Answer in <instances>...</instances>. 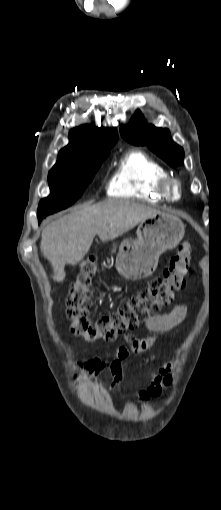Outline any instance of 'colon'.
I'll return each mask as SVG.
<instances>
[{
	"label": "colon",
	"mask_w": 221,
	"mask_h": 510,
	"mask_svg": "<svg viewBox=\"0 0 221 510\" xmlns=\"http://www.w3.org/2000/svg\"><path fill=\"white\" fill-rule=\"evenodd\" d=\"M192 260L190 243H182L161 277L153 279L115 312L95 321L90 319L89 312L92 307V283L99 269L98 261L95 257L81 261L67 299L66 314L71 321L72 332L92 343L99 340L112 342L122 333L135 329L167 306L173 300L174 292L184 287Z\"/></svg>",
	"instance_id": "colon-1"
}]
</instances>
